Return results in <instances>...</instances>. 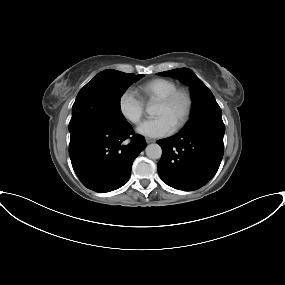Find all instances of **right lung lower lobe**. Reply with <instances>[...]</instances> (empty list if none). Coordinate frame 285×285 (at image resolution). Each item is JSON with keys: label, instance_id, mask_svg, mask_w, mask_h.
<instances>
[{"label": "right lung lower lobe", "instance_id": "obj_1", "mask_svg": "<svg viewBox=\"0 0 285 285\" xmlns=\"http://www.w3.org/2000/svg\"><path fill=\"white\" fill-rule=\"evenodd\" d=\"M70 135L69 153L75 173L85 187L100 193L123 186L129 180L134 159L146 147L141 135L122 144L133 135L129 123L112 127L87 122L71 130Z\"/></svg>", "mask_w": 285, "mask_h": 285}]
</instances>
